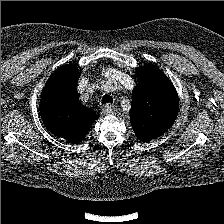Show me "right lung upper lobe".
Returning a JSON list of instances; mask_svg holds the SVG:
<instances>
[{"label": "right lung upper lobe", "mask_w": 224, "mask_h": 224, "mask_svg": "<svg viewBox=\"0 0 224 224\" xmlns=\"http://www.w3.org/2000/svg\"><path fill=\"white\" fill-rule=\"evenodd\" d=\"M79 73L75 66L64 65L49 78L40 101V115L46 128L56 137L80 143L98 115L81 104L76 92Z\"/></svg>", "instance_id": "1"}]
</instances>
